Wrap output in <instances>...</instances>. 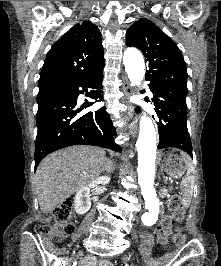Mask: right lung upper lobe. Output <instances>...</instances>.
Listing matches in <instances>:
<instances>
[{
	"label": "right lung upper lobe",
	"mask_w": 221,
	"mask_h": 266,
	"mask_svg": "<svg viewBox=\"0 0 221 266\" xmlns=\"http://www.w3.org/2000/svg\"><path fill=\"white\" fill-rule=\"evenodd\" d=\"M104 66L101 33L96 25L84 21L74 25L51 47L42 67L39 87H68Z\"/></svg>",
	"instance_id": "cb5924a9"
}]
</instances>
